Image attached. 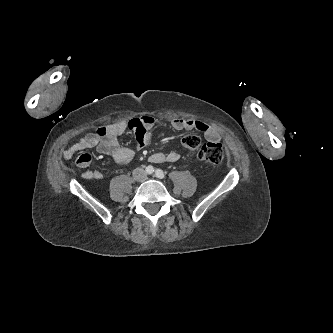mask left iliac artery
<instances>
[{
	"label": "left iliac artery",
	"instance_id": "left-iliac-artery-1",
	"mask_svg": "<svg viewBox=\"0 0 333 333\" xmlns=\"http://www.w3.org/2000/svg\"><path fill=\"white\" fill-rule=\"evenodd\" d=\"M155 175H156V177H158V178H160V179H163V178L165 177L164 172H163L162 170H160V169H157V170L155 171Z\"/></svg>",
	"mask_w": 333,
	"mask_h": 333
}]
</instances>
